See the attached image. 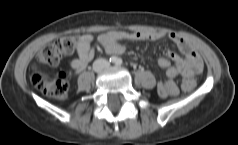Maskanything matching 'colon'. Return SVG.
<instances>
[{
    "label": "colon",
    "instance_id": "1",
    "mask_svg": "<svg viewBox=\"0 0 238 145\" xmlns=\"http://www.w3.org/2000/svg\"><path fill=\"white\" fill-rule=\"evenodd\" d=\"M76 46V36L59 38L48 44L36 56L31 70V83L42 93L55 99H63L68 93V82L65 73L47 74L39 69V65H57L62 57L71 53ZM194 85L188 81L182 82V89L190 91Z\"/></svg>",
    "mask_w": 238,
    "mask_h": 145
}]
</instances>
